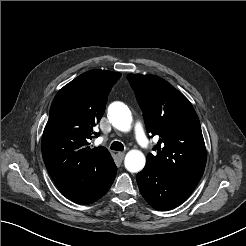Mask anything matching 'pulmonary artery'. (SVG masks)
<instances>
[{"label": "pulmonary artery", "instance_id": "e3ab8cb5", "mask_svg": "<svg viewBox=\"0 0 246 246\" xmlns=\"http://www.w3.org/2000/svg\"><path fill=\"white\" fill-rule=\"evenodd\" d=\"M134 138L142 148H146L148 146V141L143 129V125L140 122H136L134 125Z\"/></svg>", "mask_w": 246, "mask_h": 246}]
</instances>
